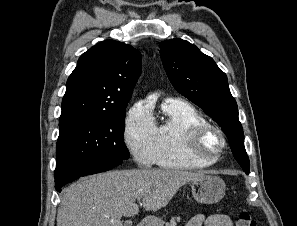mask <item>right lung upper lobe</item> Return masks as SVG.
Wrapping results in <instances>:
<instances>
[{
  "mask_svg": "<svg viewBox=\"0 0 297 226\" xmlns=\"http://www.w3.org/2000/svg\"><path fill=\"white\" fill-rule=\"evenodd\" d=\"M140 74L141 54L132 46L114 40L94 45L67 80L60 120L122 114Z\"/></svg>",
  "mask_w": 297,
  "mask_h": 226,
  "instance_id": "cb5924a9",
  "label": "right lung upper lobe"
}]
</instances>
